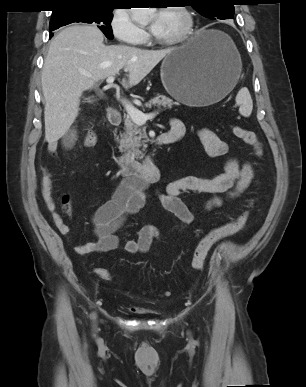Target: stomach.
Segmentation results:
<instances>
[{
  "instance_id": "0dacf381",
  "label": "stomach",
  "mask_w": 306,
  "mask_h": 387,
  "mask_svg": "<svg viewBox=\"0 0 306 387\" xmlns=\"http://www.w3.org/2000/svg\"><path fill=\"white\" fill-rule=\"evenodd\" d=\"M241 68L240 55L228 35L201 29L164 58L161 80L177 101L188 106H208L232 91Z\"/></svg>"
}]
</instances>
